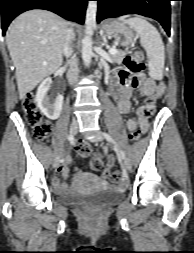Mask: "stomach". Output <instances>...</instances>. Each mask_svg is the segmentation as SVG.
<instances>
[{"mask_svg":"<svg viewBox=\"0 0 194 253\" xmlns=\"http://www.w3.org/2000/svg\"><path fill=\"white\" fill-rule=\"evenodd\" d=\"M102 31L113 38L117 45L127 47L134 41V32L131 28L116 20L108 21L102 25Z\"/></svg>","mask_w":194,"mask_h":253,"instance_id":"0dacf381","label":"stomach"}]
</instances>
